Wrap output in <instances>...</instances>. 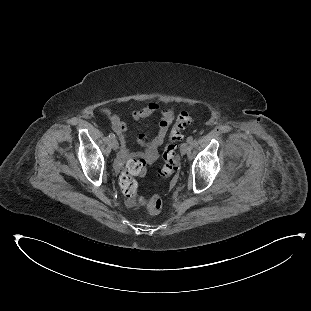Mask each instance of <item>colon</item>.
Wrapping results in <instances>:
<instances>
[{
    "label": "colon",
    "instance_id": "1",
    "mask_svg": "<svg viewBox=\"0 0 311 311\" xmlns=\"http://www.w3.org/2000/svg\"><path fill=\"white\" fill-rule=\"evenodd\" d=\"M193 123L190 113L182 111L177 115L168 135L167 142L162 155V166L159 170L160 176L167 178L179 170L177 158L178 143L182 138V131ZM146 160L143 157L134 158L131 163L122 172L120 177V186L124 196L134 200L137 196L138 184L135 179L136 174L146 171ZM146 210L150 214H158L163 209V201L160 196L154 195L148 197L144 202Z\"/></svg>",
    "mask_w": 311,
    "mask_h": 311
}]
</instances>
